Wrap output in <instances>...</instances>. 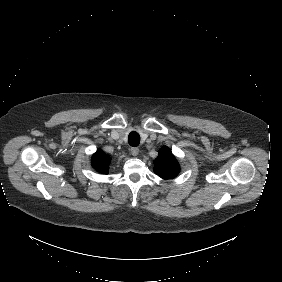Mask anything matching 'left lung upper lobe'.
<instances>
[{
    "mask_svg": "<svg viewBox=\"0 0 282 282\" xmlns=\"http://www.w3.org/2000/svg\"><path fill=\"white\" fill-rule=\"evenodd\" d=\"M154 164V172L164 179H172L180 172L179 164L167 146L160 149Z\"/></svg>",
    "mask_w": 282,
    "mask_h": 282,
    "instance_id": "1",
    "label": "left lung upper lobe"
}]
</instances>
